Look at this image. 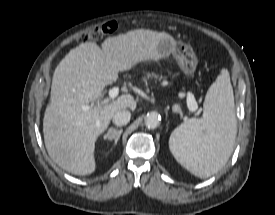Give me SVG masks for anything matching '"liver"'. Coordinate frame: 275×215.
<instances>
[{
    "label": "liver",
    "instance_id": "1",
    "mask_svg": "<svg viewBox=\"0 0 275 215\" xmlns=\"http://www.w3.org/2000/svg\"><path fill=\"white\" fill-rule=\"evenodd\" d=\"M168 34L136 29L107 38L102 49L94 42L82 43L59 63L53 74L50 103L43 119L44 142L50 158L74 175L95 171V142L121 109H136L131 94L101 100L106 86L118 72L154 59L156 46ZM90 104V105H89ZM89 106L87 111L82 106Z\"/></svg>",
    "mask_w": 275,
    "mask_h": 215
}]
</instances>
